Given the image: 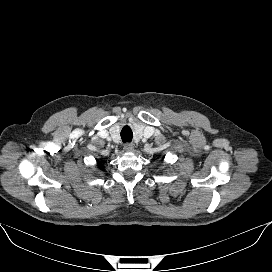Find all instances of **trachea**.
I'll list each match as a JSON object with an SVG mask.
<instances>
[{
  "label": "trachea",
  "instance_id": "3493384b",
  "mask_svg": "<svg viewBox=\"0 0 272 272\" xmlns=\"http://www.w3.org/2000/svg\"><path fill=\"white\" fill-rule=\"evenodd\" d=\"M132 130L130 127L125 126L121 131V138L123 142H131L132 141Z\"/></svg>",
  "mask_w": 272,
  "mask_h": 272
}]
</instances>
